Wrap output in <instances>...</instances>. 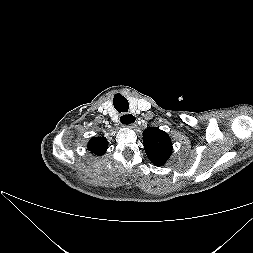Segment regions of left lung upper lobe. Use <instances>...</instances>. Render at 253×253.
Returning a JSON list of instances; mask_svg holds the SVG:
<instances>
[{
	"label": "left lung upper lobe",
	"mask_w": 253,
	"mask_h": 253,
	"mask_svg": "<svg viewBox=\"0 0 253 253\" xmlns=\"http://www.w3.org/2000/svg\"><path fill=\"white\" fill-rule=\"evenodd\" d=\"M143 144L149 160L156 166H162L172 153L169 135L159 128L151 127L143 132Z\"/></svg>",
	"instance_id": "left-lung-upper-lobe-1"
}]
</instances>
